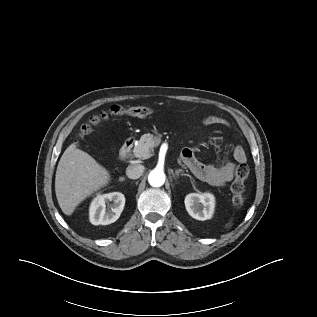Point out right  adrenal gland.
Segmentation results:
<instances>
[{"mask_svg": "<svg viewBox=\"0 0 317 317\" xmlns=\"http://www.w3.org/2000/svg\"><path fill=\"white\" fill-rule=\"evenodd\" d=\"M119 181L123 182V181H125V178L124 177H120Z\"/></svg>", "mask_w": 317, "mask_h": 317, "instance_id": "2a0ac1e0", "label": "right adrenal gland"}]
</instances>
